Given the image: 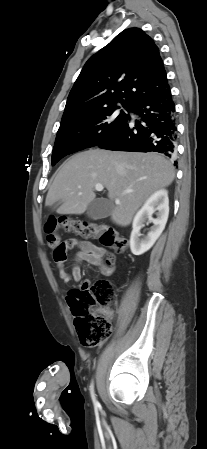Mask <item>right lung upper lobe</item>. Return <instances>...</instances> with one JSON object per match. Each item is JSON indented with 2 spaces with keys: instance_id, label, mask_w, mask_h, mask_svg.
Wrapping results in <instances>:
<instances>
[{
  "instance_id": "obj_1",
  "label": "right lung upper lobe",
  "mask_w": 207,
  "mask_h": 449,
  "mask_svg": "<svg viewBox=\"0 0 207 449\" xmlns=\"http://www.w3.org/2000/svg\"><path fill=\"white\" fill-rule=\"evenodd\" d=\"M169 88L159 49L139 28L118 34L84 65L70 91L62 120L100 109L131 108Z\"/></svg>"
}]
</instances>
